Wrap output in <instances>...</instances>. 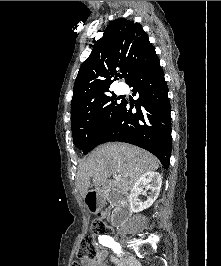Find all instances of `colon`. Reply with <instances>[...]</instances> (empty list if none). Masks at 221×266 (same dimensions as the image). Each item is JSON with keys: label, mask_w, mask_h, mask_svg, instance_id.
Returning a JSON list of instances; mask_svg holds the SVG:
<instances>
[{"label": "colon", "mask_w": 221, "mask_h": 266, "mask_svg": "<svg viewBox=\"0 0 221 266\" xmlns=\"http://www.w3.org/2000/svg\"><path fill=\"white\" fill-rule=\"evenodd\" d=\"M104 213L100 214L99 217L92 223V234L84 235L78 246L77 255L81 261H93L97 258L98 250L94 242V235L106 234L110 231L109 227L104 221Z\"/></svg>", "instance_id": "colon-1"}]
</instances>
